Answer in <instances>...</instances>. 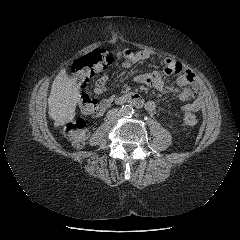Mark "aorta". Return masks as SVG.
Instances as JSON below:
<instances>
[{
	"label": "aorta",
	"instance_id": "aorta-1",
	"mask_svg": "<svg viewBox=\"0 0 240 240\" xmlns=\"http://www.w3.org/2000/svg\"><path fill=\"white\" fill-rule=\"evenodd\" d=\"M119 111L123 117H131L134 113L133 107L131 105H123Z\"/></svg>",
	"mask_w": 240,
	"mask_h": 240
}]
</instances>
